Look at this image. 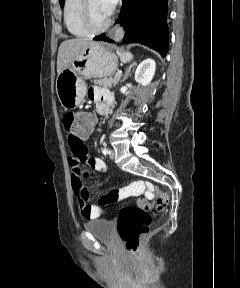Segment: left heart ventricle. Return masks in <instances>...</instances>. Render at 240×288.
Listing matches in <instances>:
<instances>
[{
    "mask_svg": "<svg viewBox=\"0 0 240 288\" xmlns=\"http://www.w3.org/2000/svg\"><path fill=\"white\" fill-rule=\"evenodd\" d=\"M89 7L91 19L96 26L102 25L108 20L109 15L101 7L99 0H89Z\"/></svg>",
    "mask_w": 240,
    "mask_h": 288,
    "instance_id": "left-heart-ventricle-1",
    "label": "left heart ventricle"
}]
</instances>
